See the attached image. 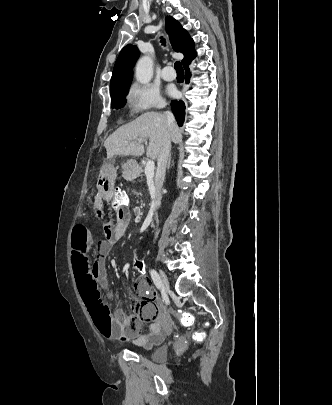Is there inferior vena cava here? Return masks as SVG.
I'll return each mask as SVG.
<instances>
[{
  "mask_svg": "<svg viewBox=\"0 0 332 405\" xmlns=\"http://www.w3.org/2000/svg\"><path fill=\"white\" fill-rule=\"evenodd\" d=\"M158 107L164 108L165 104L160 103ZM165 116L168 129L172 130L175 124L174 116L169 111L165 112ZM170 150H171V138L169 132H167L163 138L161 150L157 159V170L155 175V195L153 198V202L156 208H159L161 205V188L163 186L165 179L167 161L170 154Z\"/></svg>",
  "mask_w": 332,
  "mask_h": 405,
  "instance_id": "602c4592",
  "label": "inferior vena cava"
}]
</instances>
